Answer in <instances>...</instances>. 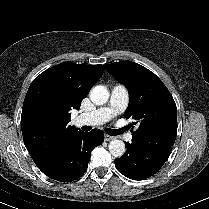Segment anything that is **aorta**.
<instances>
[{
  "mask_svg": "<svg viewBox=\"0 0 209 209\" xmlns=\"http://www.w3.org/2000/svg\"><path fill=\"white\" fill-rule=\"evenodd\" d=\"M109 90L106 86L97 85L93 87L90 91V99L96 105H102L106 103L109 99ZM109 152L114 157H121L125 153V143L121 140L114 139L109 145Z\"/></svg>",
  "mask_w": 209,
  "mask_h": 209,
  "instance_id": "762f6f07",
  "label": "aorta"
}]
</instances>
